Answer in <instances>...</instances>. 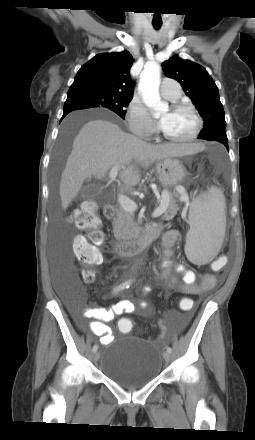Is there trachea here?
Returning <instances> with one entry per match:
<instances>
[{
  "mask_svg": "<svg viewBox=\"0 0 255 440\" xmlns=\"http://www.w3.org/2000/svg\"><path fill=\"white\" fill-rule=\"evenodd\" d=\"M162 23H153V26L155 29H159L161 27Z\"/></svg>",
  "mask_w": 255,
  "mask_h": 440,
  "instance_id": "3493384b",
  "label": "trachea"
}]
</instances>
